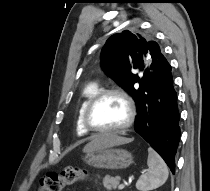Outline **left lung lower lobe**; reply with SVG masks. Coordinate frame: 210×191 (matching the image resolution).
<instances>
[{
	"mask_svg": "<svg viewBox=\"0 0 210 191\" xmlns=\"http://www.w3.org/2000/svg\"><path fill=\"white\" fill-rule=\"evenodd\" d=\"M171 69L166 60L151 76L148 88L136 103L134 128L164 159L174 174L180 127Z\"/></svg>",
	"mask_w": 210,
	"mask_h": 191,
	"instance_id": "left-lung-lower-lobe-1",
	"label": "left lung lower lobe"
}]
</instances>
